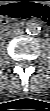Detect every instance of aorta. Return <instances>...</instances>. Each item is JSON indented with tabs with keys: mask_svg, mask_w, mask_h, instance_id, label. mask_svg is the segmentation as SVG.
I'll use <instances>...</instances> for the list:
<instances>
[{
	"mask_svg": "<svg viewBox=\"0 0 50 111\" xmlns=\"http://www.w3.org/2000/svg\"><path fill=\"white\" fill-rule=\"evenodd\" d=\"M41 28L37 23H29L26 27V32L28 34L37 35Z\"/></svg>",
	"mask_w": 50,
	"mask_h": 111,
	"instance_id": "1",
	"label": "aorta"
}]
</instances>
